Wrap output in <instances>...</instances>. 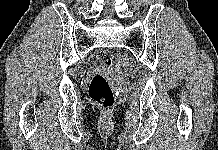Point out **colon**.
Here are the masks:
<instances>
[{
	"mask_svg": "<svg viewBox=\"0 0 218 150\" xmlns=\"http://www.w3.org/2000/svg\"><path fill=\"white\" fill-rule=\"evenodd\" d=\"M97 59L99 66L104 70L112 66L113 55L108 50L100 51ZM89 97L94 104L103 109H109L114 105V92L104 74L98 73L92 77L89 85Z\"/></svg>",
	"mask_w": 218,
	"mask_h": 150,
	"instance_id": "obj_1",
	"label": "colon"
}]
</instances>
